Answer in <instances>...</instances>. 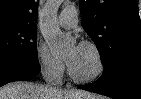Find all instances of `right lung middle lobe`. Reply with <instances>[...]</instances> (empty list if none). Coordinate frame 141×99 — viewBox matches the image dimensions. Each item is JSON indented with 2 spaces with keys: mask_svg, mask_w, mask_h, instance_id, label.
I'll return each instance as SVG.
<instances>
[{
  "mask_svg": "<svg viewBox=\"0 0 141 99\" xmlns=\"http://www.w3.org/2000/svg\"><path fill=\"white\" fill-rule=\"evenodd\" d=\"M36 38V26L0 25V61L24 60L38 62Z\"/></svg>",
  "mask_w": 141,
  "mask_h": 99,
  "instance_id": "dd1d6c3e",
  "label": "right lung middle lobe"
}]
</instances>
